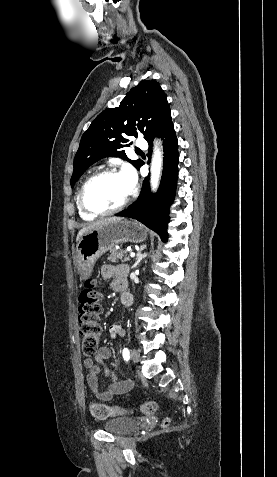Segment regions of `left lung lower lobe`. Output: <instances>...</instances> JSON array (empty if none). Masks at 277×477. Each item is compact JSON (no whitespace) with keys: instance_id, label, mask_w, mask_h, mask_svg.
<instances>
[{"instance_id":"left-lung-lower-lobe-1","label":"left lung lower lobe","mask_w":277,"mask_h":477,"mask_svg":"<svg viewBox=\"0 0 277 477\" xmlns=\"http://www.w3.org/2000/svg\"><path fill=\"white\" fill-rule=\"evenodd\" d=\"M156 135L162 137L164 147V168L159 190L156 194L150 193L149 177H146L137 202L116 214V216L130 217L140 221L157 232L165 242L167 240L169 206L172 204L175 195L179 161L178 142L172 120ZM152 140L153 137L148 141L149 150L152 149ZM142 165L143 163L140 166Z\"/></svg>"}]
</instances>
